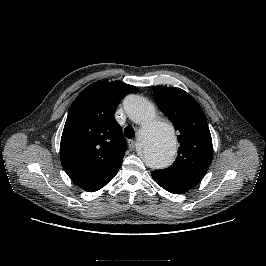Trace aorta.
<instances>
[{
    "label": "aorta",
    "mask_w": 266,
    "mask_h": 266,
    "mask_svg": "<svg viewBox=\"0 0 266 266\" xmlns=\"http://www.w3.org/2000/svg\"><path fill=\"white\" fill-rule=\"evenodd\" d=\"M128 117L141 126L140 151L145 163L153 169L169 166L176 154V139L172 125L155 120V108L145 98L131 95L124 101Z\"/></svg>",
    "instance_id": "obj_1"
}]
</instances>
